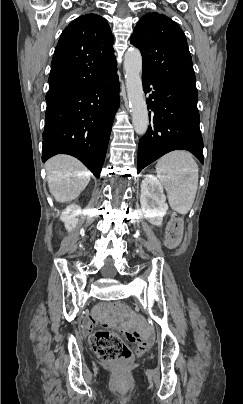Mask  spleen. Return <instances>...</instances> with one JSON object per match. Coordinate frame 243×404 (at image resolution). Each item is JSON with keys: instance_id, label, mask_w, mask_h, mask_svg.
I'll list each match as a JSON object with an SVG mask.
<instances>
[{"instance_id": "3e777b00", "label": "spleen", "mask_w": 243, "mask_h": 404, "mask_svg": "<svg viewBox=\"0 0 243 404\" xmlns=\"http://www.w3.org/2000/svg\"><path fill=\"white\" fill-rule=\"evenodd\" d=\"M157 176L164 186L171 210L188 214L198 188V166L190 152L175 150L160 158L156 166Z\"/></svg>"}]
</instances>
